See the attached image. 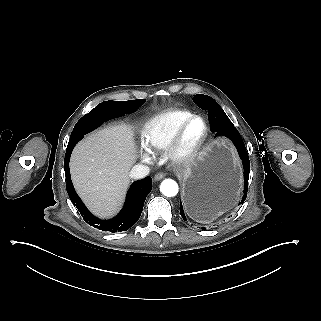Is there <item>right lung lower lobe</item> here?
Instances as JSON below:
<instances>
[{"instance_id":"obj_1","label":"right lung lower lobe","mask_w":321,"mask_h":321,"mask_svg":"<svg viewBox=\"0 0 321 321\" xmlns=\"http://www.w3.org/2000/svg\"><path fill=\"white\" fill-rule=\"evenodd\" d=\"M137 109V106L133 104L111 103L99 107L95 111V114L99 119L98 123H100L101 125L103 122L109 119L132 113ZM89 130L90 128L85 129L80 133L72 135L70 137L64 160L65 176L67 179V193L74 206H76V208L80 211V214L82 215L85 222L90 226L112 233L126 231L139 219L146 196L152 190V179L148 176L142 180L134 182L131 185L130 189L128 190L123 209L113 219L102 220L92 215L77 195L73 187L69 171V160L72 150L75 145L83 138V136L90 132Z\"/></svg>"}]
</instances>
